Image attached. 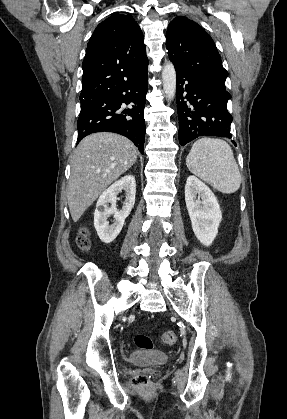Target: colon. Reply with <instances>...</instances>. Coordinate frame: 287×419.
Listing matches in <instances>:
<instances>
[{
  "mask_svg": "<svg viewBox=\"0 0 287 419\" xmlns=\"http://www.w3.org/2000/svg\"><path fill=\"white\" fill-rule=\"evenodd\" d=\"M77 243L80 248L87 249L90 246V240L86 230H81ZM160 343L167 346H172L177 342V334L172 331H165L159 339ZM135 344L138 348L144 350H150L153 348V342L151 338L145 334H137L135 336ZM148 382V377L144 374H138L132 378L131 384L133 386H144Z\"/></svg>",
  "mask_w": 287,
  "mask_h": 419,
  "instance_id": "5ec220e1",
  "label": "colon"
}]
</instances>
